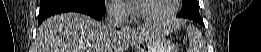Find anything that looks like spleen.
I'll list each match as a JSON object with an SVG mask.
<instances>
[{
	"mask_svg": "<svg viewBox=\"0 0 261 52\" xmlns=\"http://www.w3.org/2000/svg\"><path fill=\"white\" fill-rule=\"evenodd\" d=\"M187 31H188V37H189L191 44H192V41H194L195 35H199V36L201 35L200 31L196 27L191 26V25H189L187 27Z\"/></svg>",
	"mask_w": 261,
	"mask_h": 52,
	"instance_id": "1",
	"label": "spleen"
}]
</instances>
